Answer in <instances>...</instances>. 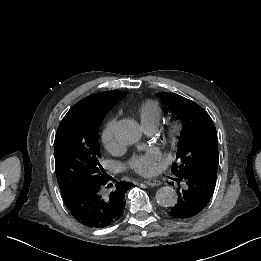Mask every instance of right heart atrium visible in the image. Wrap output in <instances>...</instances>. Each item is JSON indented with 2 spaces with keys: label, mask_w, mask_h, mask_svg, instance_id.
<instances>
[{
  "label": "right heart atrium",
  "mask_w": 261,
  "mask_h": 261,
  "mask_svg": "<svg viewBox=\"0 0 261 261\" xmlns=\"http://www.w3.org/2000/svg\"><path fill=\"white\" fill-rule=\"evenodd\" d=\"M117 121H118L117 116L111 117L110 120L107 122L102 133V143L105 149L112 154L118 151L117 141L115 140L114 137V128Z\"/></svg>",
  "instance_id": "obj_1"
}]
</instances>
